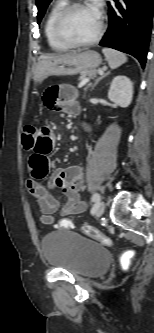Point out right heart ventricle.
<instances>
[{
  "label": "right heart ventricle",
  "mask_w": 154,
  "mask_h": 333,
  "mask_svg": "<svg viewBox=\"0 0 154 333\" xmlns=\"http://www.w3.org/2000/svg\"><path fill=\"white\" fill-rule=\"evenodd\" d=\"M68 0H55L51 5L44 23V34L48 45L56 51H65L70 47L58 40L54 33V21L60 10L67 4Z\"/></svg>",
  "instance_id": "obj_1"
}]
</instances>
